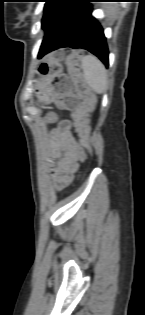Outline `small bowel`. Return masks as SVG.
<instances>
[{"mask_svg": "<svg viewBox=\"0 0 145 315\" xmlns=\"http://www.w3.org/2000/svg\"><path fill=\"white\" fill-rule=\"evenodd\" d=\"M51 175L59 188L69 184L85 153L71 132L69 121H62L51 135Z\"/></svg>", "mask_w": 145, "mask_h": 315, "instance_id": "1", "label": "small bowel"}]
</instances>
